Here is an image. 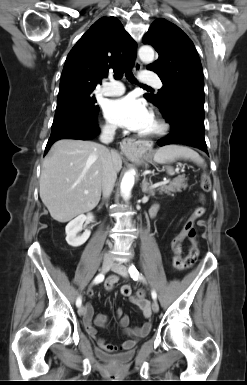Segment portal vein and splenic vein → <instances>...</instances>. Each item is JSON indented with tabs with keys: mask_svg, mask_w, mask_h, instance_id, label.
<instances>
[{
	"mask_svg": "<svg viewBox=\"0 0 247 385\" xmlns=\"http://www.w3.org/2000/svg\"><path fill=\"white\" fill-rule=\"evenodd\" d=\"M179 170H180V167H177L176 171H179ZM165 183H166L165 181H160V182H157V183L153 184L151 187L152 188H157V187H159L161 185H164ZM84 193L88 194V191H85Z\"/></svg>",
	"mask_w": 247,
	"mask_h": 385,
	"instance_id": "portal-vein-and-splenic-vein-1",
	"label": "portal vein and splenic vein"
}]
</instances>
